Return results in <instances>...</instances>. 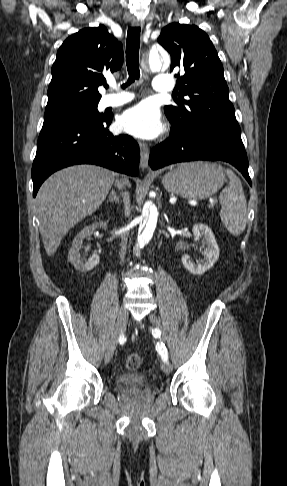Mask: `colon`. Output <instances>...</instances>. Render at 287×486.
Wrapping results in <instances>:
<instances>
[{
	"label": "colon",
	"instance_id": "obj_1",
	"mask_svg": "<svg viewBox=\"0 0 287 486\" xmlns=\"http://www.w3.org/2000/svg\"><path fill=\"white\" fill-rule=\"evenodd\" d=\"M124 364L129 370H137L142 365V358L137 353H128L124 357Z\"/></svg>",
	"mask_w": 287,
	"mask_h": 486
}]
</instances>
